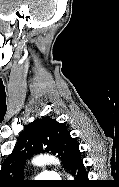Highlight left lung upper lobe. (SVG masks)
<instances>
[{
  "mask_svg": "<svg viewBox=\"0 0 119 187\" xmlns=\"http://www.w3.org/2000/svg\"><path fill=\"white\" fill-rule=\"evenodd\" d=\"M76 144L66 126L55 119L41 118L29 123L20 134L17 146L2 164L0 187H20L27 183L22 180L23 164L37 153L56 154L67 166L71 150Z\"/></svg>",
  "mask_w": 119,
  "mask_h": 187,
  "instance_id": "5c2ea615",
  "label": "left lung upper lobe"
}]
</instances>
